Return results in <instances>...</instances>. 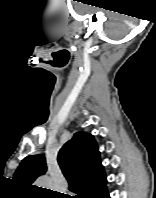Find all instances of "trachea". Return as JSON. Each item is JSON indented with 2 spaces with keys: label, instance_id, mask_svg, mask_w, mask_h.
I'll use <instances>...</instances> for the list:
<instances>
[{
  "label": "trachea",
  "instance_id": "1",
  "mask_svg": "<svg viewBox=\"0 0 156 198\" xmlns=\"http://www.w3.org/2000/svg\"><path fill=\"white\" fill-rule=\"evenodd\" d=\"M76 198H82V195H77Z\"/></svg>",
  "mask_w": 156,
  "mask_h": 198
}]
</instances>
